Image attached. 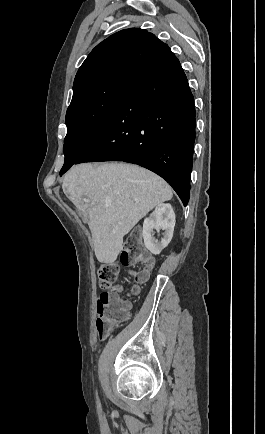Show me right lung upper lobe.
Masks as SVG:
<instances>
[{
	"label": "right lung upper lobe",
	"mask_w": 265,
	"mask_h": 434,
	"mask_svg": "<svg viewBox=\"0 0 265 434\" xmlns=\"http://www.w3.org/2000/svg\"><path fill=\"white\" fill-rule=\"evenodd\" d=\"M169 49L144 29L119 31L92 50L79 68L73 88L110 75H136Z\"/></svg>",
	"instance_id": "cb5924a9"
}]
</instances>
